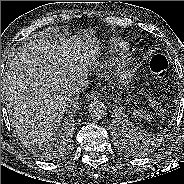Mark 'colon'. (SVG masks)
<instances>
[{"label": "colon", "mask_w": 184, "mask_h": 184, "mask_svg": "<svg viewBox=\"0 0 184 184\" xmlns=\"http://www.w3.org/2000/svg\"><path fill=\"white\" fill-rule=\"evenodd\" d=\"M150 66L155 74L164 79L169 87H172V84L167 76L168 61L164 55H155L151 59Z\"/></svg>", "instance_id": "colon-1"}]
</instances>
